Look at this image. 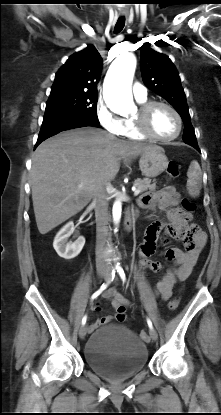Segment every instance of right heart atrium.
<instances>
[{
	"label": "right heart atrium",
	"mask_w": 221,
	"mask_h": 415,
	"mask_svg": "<svg viewBox=\"0 0 221 415\" xmlns=\"http://www.w3.org/2000/svg\"><path fill=\"white\" fill-rule=\"evenodd\" d=\"M96 116L100 125L110 134L122 135L125 127L124 119L113 113L103 100L96 105Z\"/></svg>",
	"instance_id": "1"
}]
</instances>
